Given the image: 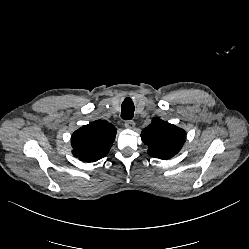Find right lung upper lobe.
<instances>
[{"mask_svg":"<svg viewBox=\"0 0 249 249\" xmlns=\"http://www.w3.org/2000/svg\"><path fill=\"white\" fill-rule=\"evenodd\" d=\"M115 136L116 129L111 123L96 120L73 133V155L81 161L95 162L107 155Z\"/></svg>","mask_w":249,"mask_h":249,"instance_id":"obj_1","label":"right lung upper lobe"}]
</instances>
